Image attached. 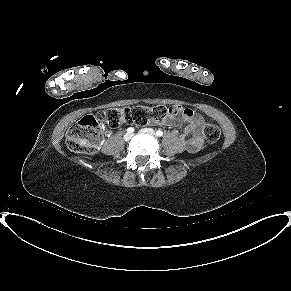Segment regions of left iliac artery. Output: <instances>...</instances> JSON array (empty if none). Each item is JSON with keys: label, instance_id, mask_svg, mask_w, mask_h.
I'll use <instances>...</instances> for the list:
<instances>
[{"label": "left iliac artery", "instance_id": "obj_1", "mask_svg": "<svg viewBox=\"0 0 291 291\" xmlns=\"http://www.w3.org/2000/svg\"><path fill=\"white\" fill-rule=\"evenodd\" d=\"M156 135H157L158 137H161V136L163 135V132H162L161 130H158V131L156 132Z\"/></svg>", "mask_w": 291, "mask_h": 291}]
</instances>
